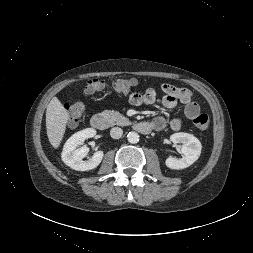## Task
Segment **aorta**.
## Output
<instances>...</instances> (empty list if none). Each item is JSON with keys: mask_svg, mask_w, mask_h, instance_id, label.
I'll list each match as a JSON object with an SVG mask.
<instances>
[{"mask_svg": "<svg viewBox=\"0 0 253 253\" xmlns=\"http://www.w3.org/2000/svg\"><path fill=\"white\" fill-rule=\"evenodd\" d=\"M128 142L135 144L139 142V134L137 132H129L127 135Z\"/></svg>", "mask_w": 253, "mask_h": 253, "instance_id": "aorta-1", "label": "aorta"}]
</instances>
